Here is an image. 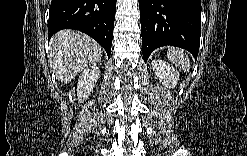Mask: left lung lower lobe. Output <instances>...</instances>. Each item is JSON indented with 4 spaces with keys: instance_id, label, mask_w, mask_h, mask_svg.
<instances>
[{
    "instance_id": "obj_1",
    "label": "left lung lower lobe",
    "mask_w": 247,
    "mask_h": 156,
    "mask_svg": "<svg viewBox=\"0 0 247 156\" xmlns=\"http://www.w3.org/2000/svg\"><path fill=\"white\" fill-rule=\"evenodd\" d=\"M142 52L177 46L197 58L201 36L200 0H139Z\"/></svg>"
}]
</instances>
